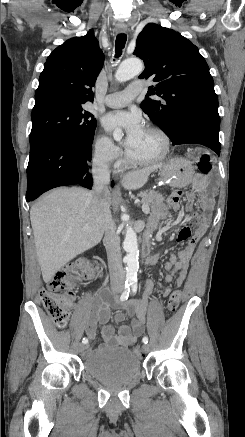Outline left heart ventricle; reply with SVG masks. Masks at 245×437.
Returning <instances> with one entry per match:
<instances>
[{
	"mask_svg": "<svg viewBox=\"0 0 245 437\" xmlns=\"http://www.w3.org/2000/svg\"><path fill=\"white\" fill-rule=\"evenodd\" d=\"M161 150V138L156 133L144 130L137 144L129 151V154L134 158L146 159L156 156Z\"/></svg>",
	"mask_w": 245,
	"mask_h": 437,
	"instance_id": "1",
	"label": "left heart ventricle"
}]
</instances>
